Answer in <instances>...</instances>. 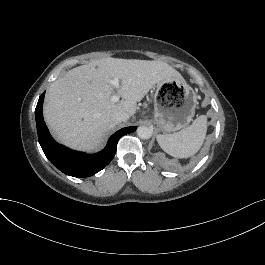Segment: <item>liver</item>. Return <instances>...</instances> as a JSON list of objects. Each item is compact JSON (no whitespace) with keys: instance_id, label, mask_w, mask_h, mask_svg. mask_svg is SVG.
Segmentation results:
<instances>
[{"instance_id":"liver-1","label":"liver","mask_w":265,"mask_h":265,"mask_svg":"<svg viewBox=\"0 0 265 265\" xmlns=\"http://www.w3.org/2000/svg\"><path fill=\"white\" fill-rule=\"evenodd\" d=\"M121 81L117 95L109 81ZM182 81L181 74L159 60L119 59L106 57L68 71L47 90L43 115L52 134L64 145L77 150L92 151L116 123L112 114L128 112L133 116L137 102L157 83Z\"/></svg>"}]
</instances>
